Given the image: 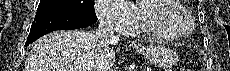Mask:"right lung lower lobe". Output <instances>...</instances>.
Returning <instances> with one entry per match:
<instances>
[{"label":"right lung lower lobe","instance_id":"1","mask_svg":"<svg viewBox=\"0 0 230 71\" xmlns=\"http://www.w3.org/2000/svg\"><path fill=\"white\" fill-rule=\"evenodd\" d=\"M96 21L97 17L74 12H46L36 14L25 46H28L49 32L83 28Z\"/></svg>","mask_w":230,"mask_h":71}]
</instances>
